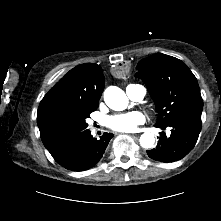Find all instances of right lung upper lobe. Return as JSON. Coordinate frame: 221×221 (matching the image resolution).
<instances>
[{
  "mask_svg": "<svg viewBox=\"0 0 221 221\" xmlns=\"http://www.w3.org/2000/svg\"><path fill=\"white\" fill-rule=\"evenodd\" d=\"M104 89V75L94 63L78 65L70 70L44 96L38 108L37 119L52 109H97Z\"/></svg>",
  "mask_w": 221,
  "mask_h": 221,
  "instance_id": "right-lung-upper-lobe-1",
  "label": "right lung upper lobe"
}]
</instances>
